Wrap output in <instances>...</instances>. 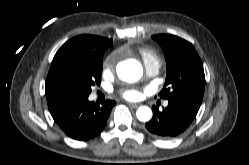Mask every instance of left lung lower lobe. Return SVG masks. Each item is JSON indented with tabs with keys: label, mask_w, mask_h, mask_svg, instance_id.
Instances as JSON below:
<instances>
[{
	"label": "left lung lower lobe",
	"mask_w": 249,
	"mask_h": 165,
	"mask_svg": "<svg viewBox=\"0 0 249 165\" xmlns=\"http://www.w3.org/2000/svg\"><path fill=\"white\" fill-rule=\"evenodd\" d=\"M200 105L185 99H173L168 100V106L162 111L153 106V118L145 124L146 129L160 139L174 138L189 127Z\"/></svg>",
	"instance_id": "left-lung-lower-lobe-1"
}]
</instances>
